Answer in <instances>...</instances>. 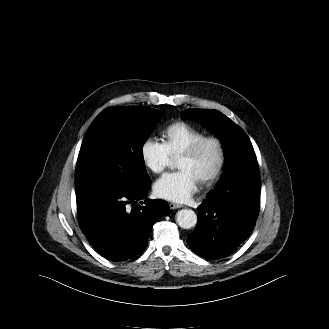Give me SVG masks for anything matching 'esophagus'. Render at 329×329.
<instances>
[{
	"mask_svg": "<svg viewBox=\"0 0 329 329\" xmlns=\"http://www.w3.org/2000/svg\"><path fill=\"white\" fill-rule=\"evenodd\" d=\"M169 207H170V209H178V208H181L182 205L176 204V203H170Z\"/></svg>",
	"mask_w": 329,
	"mask_h": 329,
	"instance_id": "obj_1",
	"label": "esophagus"
}]
</instances>
